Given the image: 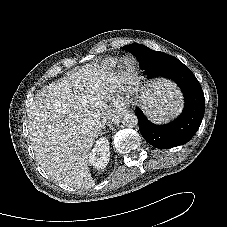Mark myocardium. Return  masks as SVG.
Masks as SVG:
<instances>
[{"mask_svg": "<svg viewBox=\"0 0 227 227\" xmlns=\"http://www.w3.org/2000/svg\"><path fill=\"white\" fill-rule=\"evenodd\" d=\"M121 66L126 73H132L136 69V61L132 57H125L122 60Z\"/></svg>", "mask_w": 227, "mask_h": 227, "instance_id": "obj_1", "label": "myocardium"}]
</instances>
